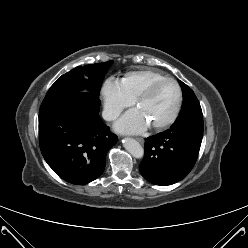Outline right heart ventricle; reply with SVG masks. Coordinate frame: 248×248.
<instances>
[{"mask_svg": "<svg viewBox=\"0 0 248 248\" xmlns=\"http://www.w3.org/2000/svg\"><path fill=\"white\" fill-rule=\"evenodd\" d=\"M165 77L154 70H139L127 73L121 80L126 93L134 100L151 82Z\"/></svg>", "mask_w": 248, "mask_h": 248, "instance_id": "obj_1", "label": "right heart ventricle"}]
</instances>
